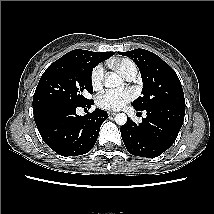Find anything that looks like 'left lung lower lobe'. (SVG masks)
Segmentation results:
<instances>
[{"label":"left lung lower lobe","instance_id":"1","mask_svg":"<svg viewBox=\"0 0 214 214\" xmlns=\"http://www.w3.org/2000/svg\"><path fill=\"white\" fill-rule=\"evenodd\" d=\"M146 112L147 117L139 125L129 120L122 126L121 136L129 153L154 158L175 142L184 121L185 107L161 105Z\"/></svg>","mask_w":214,"mask_h":214}]
</instances>
